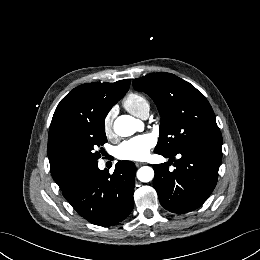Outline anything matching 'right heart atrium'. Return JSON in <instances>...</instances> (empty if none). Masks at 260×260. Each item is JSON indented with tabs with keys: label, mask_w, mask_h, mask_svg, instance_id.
Returning <instances> with one entry per match:
<instances>
[{
	"label": "right heart atrium",
	"mask_w": 260,
	"mask_h": 260,
	"mask_svg": "<svg viewBox=\"0 0 260 260\" xmlns=\"http://www.w3.org/2000/svg\"><path fill=\"white\" fill-rule=\"evenodd\" d=\"M115 112H116V110L113 107L112 109H110L108 111V113L106 114V116L104 118L103 125H104V130H105L107 135H110L112 133Z\"/></svg>",
	"instance_id": "obj_1"
}]
</instances>
